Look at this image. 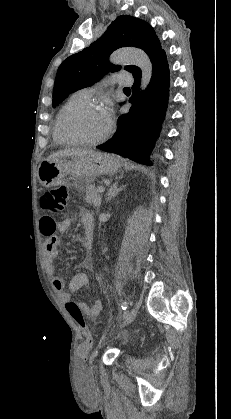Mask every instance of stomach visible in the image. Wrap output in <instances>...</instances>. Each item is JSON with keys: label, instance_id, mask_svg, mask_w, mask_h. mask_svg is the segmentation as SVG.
I'll return each instance as SVG.
<instances>
[{"label": "stomach", "instance_id": "stomach-1", "mask_svg": "<svg viewBox=\"0 0 231 419\" xmlns=\"http://www.w3.org/2000/svg\"><path fill=\"white\" fill-rule=\"evenodd\" d=\"M121 166L120 159L113 154L93 152L85 156L45 159L38 167V180L44 187L66 183L67 175L76 179L75 186L83 190L96 177L116 172Z\"/></svg>", "mask_w": 231, "mask_h": 419}]
</instances>
